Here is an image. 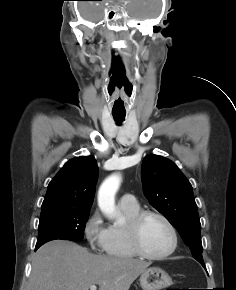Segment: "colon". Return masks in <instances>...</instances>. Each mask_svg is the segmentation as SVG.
Returning <instances> with one entry per match:
<instances>
[{
	"label": "colon",
	"instance_id": "1",
	"mask_svg": "<svg viewBox=\"0 0 236 290\" xmlns=\"http://www.w3.org/2000/svg\"><path fill=\"white\" fill-rule=\"evenodd\" d=\"M166 290H177V289H171V288H167Z\"/></svg>",
	"mask_w": 236,
	"mask_h": 290
}]
</instances>
